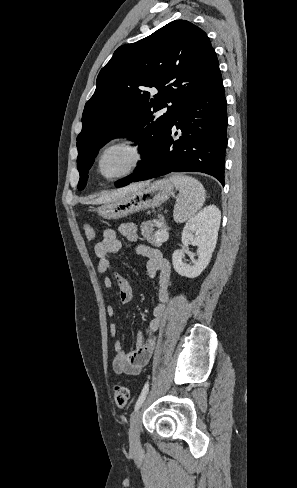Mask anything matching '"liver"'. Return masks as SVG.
<instances>
[{
	"mask_svg": "<svg viewBox=\"0 0 297 488\" xmlns=\"http://www.w3.org/2000/svg\"><path fill=\"white\" fill-rule=\"evenodd\" d=\"M147 184H148V182H143V183H139V184H132L130 186H127V187H124V188H121V189H118V190H115L112 192H108V193L104 194L103 196H101L100 198H98L95 202L96 203L109 202V201L115 200L119 196H121L127 192L136 191L137 189L142 188V187L146 186Z\"/></svg>",
	"mask_w": 297,
	"mask_h": 488,
	"instance_id": "obj_1",
	"label": "liver"
}]
</instances>
